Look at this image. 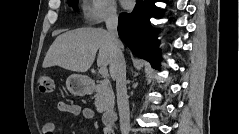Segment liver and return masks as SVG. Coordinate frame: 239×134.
<instances>
[{
    "mask_svg": "<svg viewBox=\"0 0 239 134\" xmlns=\"http://www.w3.org/2000/svg\"><path fill=\"white\" fill-rule=\"evenodd\" d=\"M99 50L97 65L113 61V45L108 31L102 28H78L59 35L50 46L43 67L59 66L74 72H86Z\"/></svg>",
    "mask_w": 239,
    "mask_h": 134,
    "instance_id": "obj_1",
    "label": "liver"
}]
</instances>
